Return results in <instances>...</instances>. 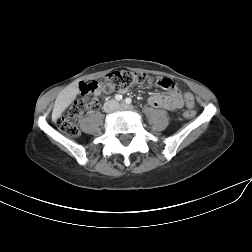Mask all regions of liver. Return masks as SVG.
<instances>
[{
  "label": "liver",
  "instance_id": "liver-1",
  "mask_svg": "<svg viewBox=\"0 0 252 252\" xmlns=\"http://www.w3.org/2000/svg\"><path fill=\"white\" fill-rule=\"evenodd\" d=\"M79 93L78 83L74 82L65 87L57 96L52 112V120L56 121L61 114L76 99Z\"/></svg>",
  "mask_w": 252,
  "mask_h": 252
}]
</instances>
